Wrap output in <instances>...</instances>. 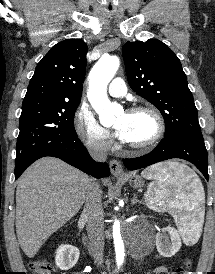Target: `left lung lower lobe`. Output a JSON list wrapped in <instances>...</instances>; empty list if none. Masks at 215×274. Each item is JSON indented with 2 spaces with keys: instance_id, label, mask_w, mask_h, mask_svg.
Instances as JSON below:
<instances>
[{
  "instance_id": "left-lung-lower-lobe-1",
  "label": "left lung lower lobe",
  "mask_w": 215,
  "mask_h": 274,
  "mask_svg": "<svg viewBox=\"0 0 215 274\" xmlns=\"http://www.w3.org/2000/svg\"><path fill=\"white\" fill-rule=\"evenodd\" d=\"M172 158L185 159L193 163L208 180L207 150L203 138L189 135L164 137L150 153L137 158L124 159L123 162L128 169L136 170Z\"/></svg>"
}]
</instances>
